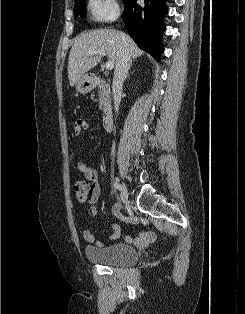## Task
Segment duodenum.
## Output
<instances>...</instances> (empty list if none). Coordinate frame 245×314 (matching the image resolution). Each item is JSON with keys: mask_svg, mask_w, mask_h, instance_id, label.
<instances>
[{"mask_svg": "<svg viewBox=\"0 0 245 314\" xmlns=\"http://www.w3.org/2000/svg\"><path fill=\"white\" fill-rule=\"evenodd\" d=\"M100 82V80H97ZM103 125L107 132H110L113 128V114L110 109H107L104 117H103Z\"/></svg>", "mask_w": 245, "mask_h": 314, "instance_id": "duodenum-1", "label": "duodenum"}]
</instances>
